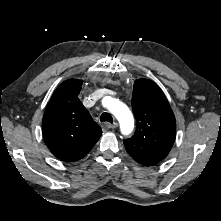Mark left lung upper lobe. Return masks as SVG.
I'll use <instances>...</instances> for the list:
<instances>
[{
    "instance_id": "obj_1",
    "label": "left lung upper lobe",
    "mask_w": 221,
    "mask_h": 221,
    "mask_svg": "<svg viewBox=\"0 0 221 221\" xmlns=\"http://www.w3.org/2000/svg\"><path fill=\"white\" fill-rule=\"evenodd\" d=\"M132 109L136 117L133 137L124 140L129 155L152 166L163 160L175 141L176 120L158 85L148 79L134 82Z\"/></svg>"
}]
</instances>
